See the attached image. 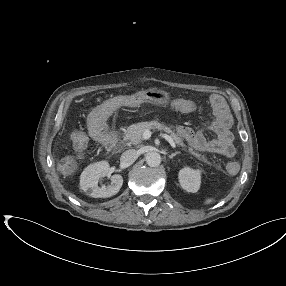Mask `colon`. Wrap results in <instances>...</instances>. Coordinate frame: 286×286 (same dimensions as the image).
I'll use <instances>...</instances> for the list:
<instances>
[{
  "instance_id": "1",
  "label": "colon",
  "mask_w": 286,
  "mask_h": 286,
  "mask_svg": "<svg viewBox=\"0 0 286 286\" xmlns=\"http://www.w3.org/2000/svg\"><path fill=\"white\" fill-rule=\"evenodd\" d=\"M73 143L77 149H83L85 144H86V137H85L84 133H82V132L75 133L73 136ZM67 162L72 163L73 159H71V158L67 159ZM228 169L231 172L236 171L238 169L237 163H230L228 165Z\"/></svg>"
}]
</instances>
